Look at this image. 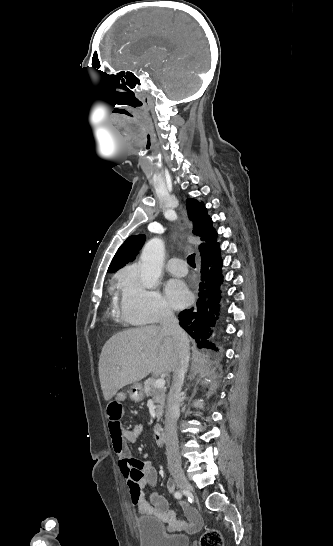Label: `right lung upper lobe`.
Instances as JSON below:
<instances>
[{"mask_svg": "<svg viewBox=\"0 0 333 546\" xmlns=\"http://www.w3.org/2000/svg\"><path fill=\"white\" fill-rule=\"evenodd\" d=\"M188 217L193 222V233L200 236L204 242L199 246L201 256H207L217 245V232L212 228V220L208 216L203 203L197 200L188 199ZM145 242L144 235L130 236L120 246L112 259L108 272H115L129 261H133Z\"/></svg>", "mask_w": 333, "mask_h": 546, "instance_id": "obj_1", "label": "right lung upper lobe"}]
</instances>
